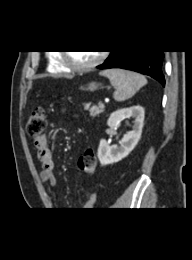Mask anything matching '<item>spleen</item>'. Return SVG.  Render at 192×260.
Masks as SVG:
<instances>
[{
    "instance_id": "3e777b00",
    "label": "spleen",
    "mask_w": 192,
    "mask_h": 260,
    "mask_svg": "<svg viewBox=\"0 0 192 260\" xmlns=\"http://www.w3.org/2000/svg\"><path fill=\"white\" fill-rule=\"evenodd\" d=\"M100 75L110 80L115 88L113 97L118 102L131 98L147 84V79L143 75L123 69H107L100 72Z\"/></svg>"
}]
</instances>
